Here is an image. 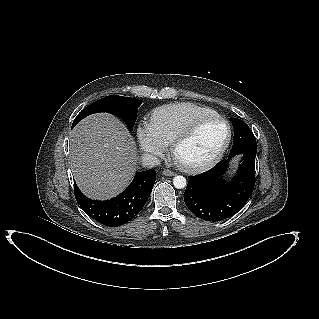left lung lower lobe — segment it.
Listing matches in <instances>:
<instances>
[{
    "label": "left lung lower lobe",
    "mask_w": 319,
    "mask_h": 319,
    "mask_svg": "<svg viewBox=\"0 0 319 319\" xmlns=\"http://www.w3.org/2000/svg\"><path fill=\"white\" fill-rule=\"evenodd\" d=\"M233 125L236 118L231 119ZM243 154L232 180L223 179L233 155ZM256 151H230L228 159L196 176H189L184 201L189 210L205 221H221L239 211L251 196L255 185Z\"/></svg>",
    "instance_id": "obj_1"
}]
</instances>
